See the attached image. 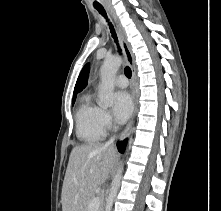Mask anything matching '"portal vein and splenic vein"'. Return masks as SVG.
I'll list each match as a JSON object with an SVG mask.
<instances>
[{
	"mask_svg": "<svg viewBox=\"0 0 221 211\" xmlns=\"http://www.w3.org/2000/svg\"><path fill=\"white\" fill-rule=\"evenodd\" d=\"M101 200L99 197L93 198L88 206V211H97L100 206Z\"/></svg>",
	"mask_w": 221,
	"mask_h": 211,
	"instance_id": "obj_1",
	"label": "portal vein and splenic vein"
}]
</instances>
